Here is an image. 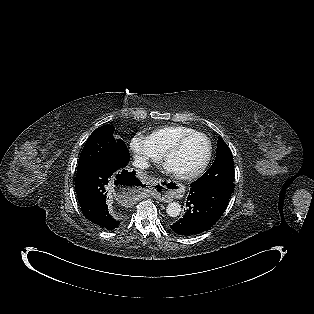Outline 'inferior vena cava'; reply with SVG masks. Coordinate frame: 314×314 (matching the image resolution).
Returning <instances> with one entry per match:
<instances>
[{
  "mask_svg": "<svg viewBox=\"0 0 314 314\" xmlns=\"http://www.w3.org/2000/svg\"><path fill=\"white\" fill-rule=\"evenodd\" d=\"M132 165L141 169H145L149 167L147 160L142 156H136Z\"/></svg>",
  "mask_w": 314,
  "mask_h": 314,
  "instance_id": "obj_1",
  "label": "inferior vena cava"
}]
</instances>
